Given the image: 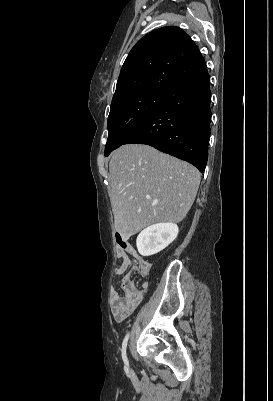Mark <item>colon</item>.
Here are the masks:
<instances>
[{"mask_svg":"<svg viewBox=\"0 0 273 401\" xmlns=\"http://www.w3.org/2000/svg\"><path fill=\"white\" fill-rule=\"evenodd\" d=\"M125 250H119L118 256L125 257ZM120 273L123 276L128 275L129 270H134L136 264L134 261H123L121 264ZM152 268L151 261H140L139 267L136 269V274L138 276H147L149 274V270ZM143 287L141 284H136L135 278H125L124 284H119L117 288H114L113 295L114 297H125L126 293H133L134 296L139 297L142 294Z\"/></svg>","mask_w":273,"mask_h":401,"instance_id":"colon-1","label":"colon"}]
</instances>
